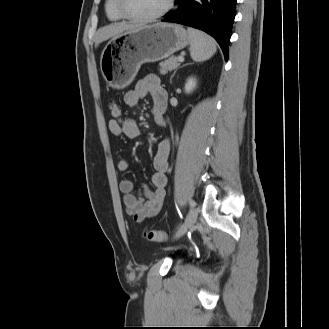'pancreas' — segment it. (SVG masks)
Masks as SVG:
<instances>
[{
    "label": "pancreas",
    "mask_w": 329,
    "mask_h": 329,
    "mask_svg": "<svg viewBox=\"0 0 329 329\" xmlns=\"http://www.w3.org/2000/svg\"><path fill=\"white\" fill-rule=\"evenodd\" d=\"M180 65L178 61V57H170L169 59L161 62L159 64L160 66V73L161 74H166L168 71H172L176 69Z\"/></svg>",
    "instance_id": "pancreas-1"
}]
</instances>
